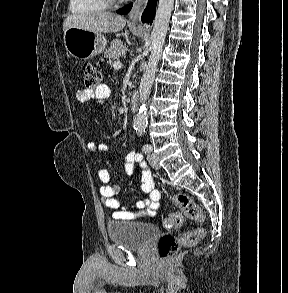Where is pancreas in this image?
Masks as SVG:
<instances>
[{
	"label": "pancreas",
	"instance_id": "cf45deb5",
	"mask_svg": "<svg viewBox=\"0 0 288 293\" xmlns=\"http://www.w3.org/2000/svg\"><path fill=\"white\" fill-rule=\"evenodd\" d=\"M126 51L125 44L122 40L115 39L110 42L109 48L105 51V57L113 63L119 57L124 56Z\"/></svg>",
	"mask_w": 288,
	"mask_h": 293
}]
</instances>
